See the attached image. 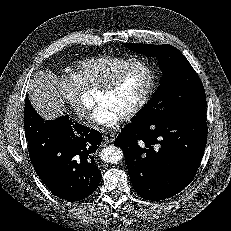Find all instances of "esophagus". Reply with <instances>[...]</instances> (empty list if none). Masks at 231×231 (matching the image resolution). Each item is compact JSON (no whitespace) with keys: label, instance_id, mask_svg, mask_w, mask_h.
Returning a JSON list of instances; mask_svg holds the SVG:
<instances>
[{"label":"esophagus","instance_id":"esophagus-1","mask_svg":"<svg viewBox=\"0 0 231 231\" xmlns=\"http://www.w3.org/2000/svg\"><path fill=\"white\" fill-rule=\"evenodd\" d=\"M103 141L105 142V143H113L114 141H115V134L114 133H105L104 135H103Z\"/></svg>","mask_w":231,"mask_h":231}]
</instances>
